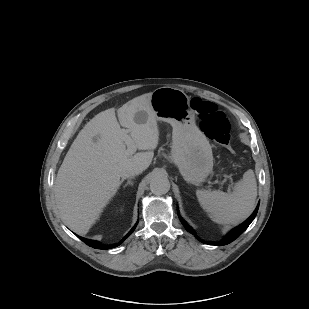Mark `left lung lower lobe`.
<instances>
[{
    "instance_id": "0a47b994",
    "label": "left lung lower lobe",
    "mask_w": 309,
    "mask_h": 309,
    "mask_svg": "<svg viewBox=\"0 0 309 309\" xmlns=\"http://www.w3.org/2000/svg\"><path fill=\"white\" fill-rule=\"evenodd\" d=\"M258 208H259V204L258 206L256 207L255 211L253 212V214L244 222L242 223L241 225H239L238 227L234 228L232 231H230L226 236L225 238L220 241V242H215V243H212V242H205L203 240H201L199 237H197V235L195 234L194 230L181 218V216L178 214L179 216V219L181 221V223L183 224V226L185 227V229L192 233L193 235H195L201 242L203 243H206V244H209V245H226V244H229L231 243L232 241H234L236 238H238L247 228L248 226L250 225V223L254 220L256 214H257V211H258Z\"/></svg>"
}]
</instances>
